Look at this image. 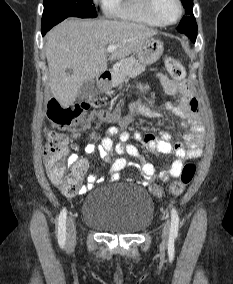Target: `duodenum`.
Returning a JSON list of instances; mask_svg holds the SVG:
<instances>
[{
  "mask_svg": "<svg viewBox=\"0 0 233 284\" xmlns=\"http://www.w3.org/2000/svg\"><path fill=\"white\" fill-rule=\"evenodd\" d=\"M112 78V73L110 70L103 71L99 76V83L101 86H106Z\"/></svg>",
  "mask_w": 233,
  "mask_h": 284,
  "instance_id": "obj_1",
  "label": "duodenum"
}]
</instances>
